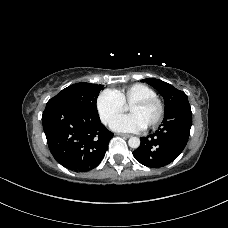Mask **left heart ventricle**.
<instances>
[{
  "instance_id": "left-heart-ventricle-1",
  "label": "left heart ventricle",
  "mask_w": 228,
  "mask_h": 228,
  "mask_svg": "<svg viewBox=\"0 0 228 228\" xmlns=\"http://www.w3.org/2000/svg\"><path fill=\"white\" fill-rule=\"evenodd\" d=\"M128 111L130 114L136 115L145 126H148L156 118L158 108L155 104L146 107L130 106Z\"/></svg>"
}]
</instances>
